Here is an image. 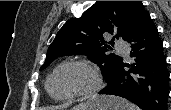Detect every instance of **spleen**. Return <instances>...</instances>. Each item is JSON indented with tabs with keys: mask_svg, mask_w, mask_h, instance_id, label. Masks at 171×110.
Instances as JSON below:
<instances>
[{
	"mask_svg": "<svg viewBox=\"0 0 171 110\" xmlns=\"http://www.w3.org/2000/svg\"><path fill=\"white\" fill-rule=\"evenodd\" d=\"M124 109L125 110H139V108L133 104V103H129V102H124Z\"/></svg>",
	"mask_w": 171,
	"mask_h": 110,
	"instance_id": "obj_1",
	"label": "spleen"
}]
</instances>
